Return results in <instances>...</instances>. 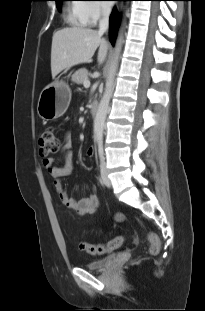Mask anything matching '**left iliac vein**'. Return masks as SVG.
Returning <instances> with one entry per match:
<instances>
[{
	"mask_svg": "<svg viewBox=\"0 0 205 311\" xmlns=\"http://www.w3.org/2000/svg\"><path fill=\"white\" fill-rule=\"evenodd\" d=\"M100 173H101V182L105 186L110 187L111 186V182H110V179L108 178V175H107L106 163H105L104 158L101 159Z\"/></svg>",
	"mask_w": 205,
	"mask_h": 311,
	"instance_id": "1",
	"label": "left iliac vein"
}]
</instances>
